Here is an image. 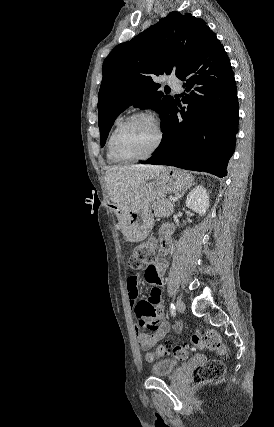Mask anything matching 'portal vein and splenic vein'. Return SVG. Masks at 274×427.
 <instances>
[{"label":"portal vein and splenic vein","instance_id":"obj_1","mask_svg":"<svg viewBox=\"0 0 274 427\" xmlns=\"http://www.w3.org/2000/svg\"><path fill=\"white\" fill-rule=\"evenodd\" d=\"M177 198H173V202H176Z\"/></svg>","mask_w":274,"mask_h":427}]
</instances>
